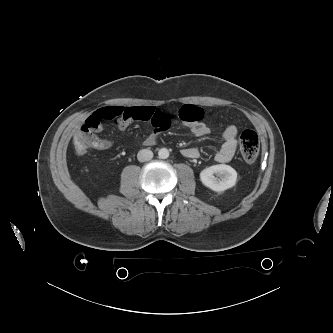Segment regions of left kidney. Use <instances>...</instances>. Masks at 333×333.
Here are the masks:
<instances>
[{
  "instance_id": "obj_1",
  "label": "left kidney",
  "mask_w": 333,
  "mask_h": 333,
  "mask_svg": "<svg viewBox=\"0 0 333 333\" xmlns=\"http://www.w3.org/2000/svg\"><path fill=\"white\" fill-rule=\"evenodd\" d=\"M216 174L221 180H217ZM201 182L213 191L221 192L235 186L237 172L229 165L219 164L205 168L200 173Z\"/></svg>"
}]
</instances>
